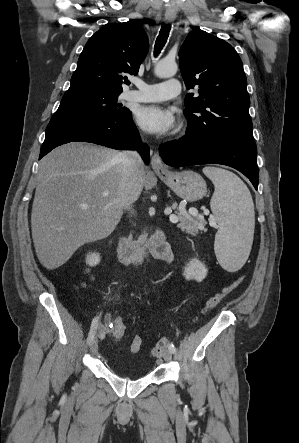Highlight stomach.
I'll use <instances>...</instances> for the list:
<instances>
[{"label":"stomach","mask_w":299,"mask_h":443,"mask_svg":"<svg viewBox=\"0 0 299 443\" xmlns=\"http://www.w3.org/2000/svg\"><path fill=\"white\" fill-rule=\"evenodd\" d=\"M157 175L176 195L189 202L198 201L207 193L206 182L194 171H167Z\"/></svg>","instance_id":"obj_1"}]
</instances>
